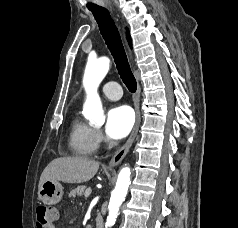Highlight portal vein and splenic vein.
Wrapping results in <instances>:
<instances>
[{
	"mask_svg": "<svg viewBox=\"0 0 238 228\" xmlns=\"http://www.w3.org/2000/svg\"><path fill=\"white\" fill-rule=\"evenodd\" d=\"M90 194H91V190H90V189H88V190L85 192V197H89V196H90Z\"/></svg>",
	"mask_w": 238,
	"mask_h": 228,
	"instance_id": "portal-vein-and-splenic-vein-1",
	"label": "portal vein and splenic vein"
}]
</instances>
